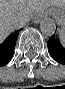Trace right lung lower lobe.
Instances as JSON below:
<instances>
[{"instance_id":"obj_1","label":"right lung lower lobe","mask_w":65,"mask_h":89,"mask_svg":"<svg viewBox=\"0 0 65 89\" xmlns=\"http://www.w3.org/2000/svg\"><path fill=\"white\" fill-rule=\"evenodd\" d=\"M18 32L7 38L4 42L0 43V67L6 65L12 58Z\"/></svg>"}]
</instances>
